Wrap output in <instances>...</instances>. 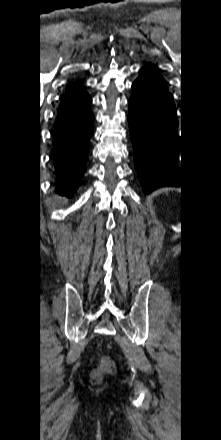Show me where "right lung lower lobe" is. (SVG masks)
Segmentation results:
<instances>
[{
	"mask_svg": "<svg viewBox=\"0 0 221 440\" xmlns=\"http://www.w3.org/2000/svg\"><path fill=\"white\" fill-rule=\"evenodd\" d=\"M92 102L80 84L70 86L58 108L54 131V163L61 194L72 196L85 172L89 139L93 135Z\"/></svg>",
	"mask_w": 221,
	"mask_h": 440,
	"instance_id": "right-lung-lower-lobe-1",
	"label": "right lung lower lobe"
}]
</instances>
